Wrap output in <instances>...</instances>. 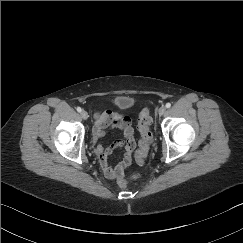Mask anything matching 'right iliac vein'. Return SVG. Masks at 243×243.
<instances>
[{"label": "right iliac vein", "instance_id": "1", "mask_svg": "<svg viewBox=\"0 0 243 243\" xmlns=\"http://www.w3.org/2000/svg\"><path fill=\"white\" fill-rule=\"evenodd\" d=\"M81 117L84 119V120H86V119H88V113L86 112V111H82L81 112Z\"/></svg>", "mask_w": 243, "mask_h": 243}]
</instances>
